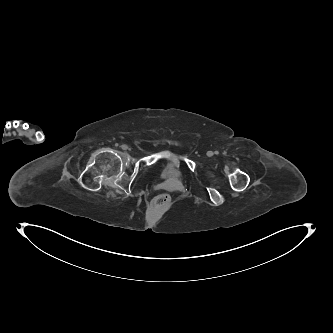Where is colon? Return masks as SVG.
I'll use <instances>...</instances> for the list:
<instances>
[{"label": "colon", "mask_w": 333, "mask_h": 333, "mask_svg": "<svg viewBox=\"0 0 333 333\" xmlns=\"http://www.w3.org/2000/svg\"><path fill=\"white\" fill-rule=\"evenodd\" d=\"M171 205V197L167 193H161L152 200V207L156 210H167Z\"/></svg>", "instance_id": "5ec220e1"}]
</instances>
